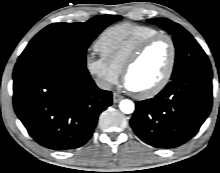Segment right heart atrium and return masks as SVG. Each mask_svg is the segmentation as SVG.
Listing matches in <instances>:
<instances>
[{
    "instance_id": "d8ad5b80",
    "label": "right heart atrium",
    "mask_w": 220,
    "mask_h": 173,
    "mask_svg": "<svg viewBox=\"0 0 220 173\" xmlns=\"http://www.w3.org/2000/svg\"><path fill=\"white\" fill-rule=\"evenodd\" d=\"M85 63L89 73L97 79L102 88H110L118 82L120 71L104 58L88 54Z\"/></svg>"
}]
</instances>
